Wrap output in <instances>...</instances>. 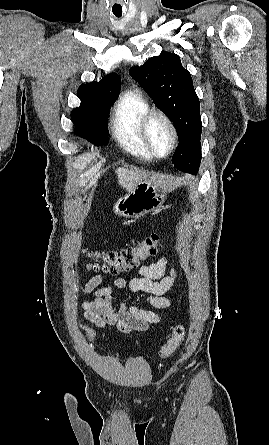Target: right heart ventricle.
<instances>
[{
    "mask_svg": "<svg viewBox=\"0 0 269 445\" xmlns=\"http://www.w3.org/2000/svg\"><path fill=\"white\" fill-rule=\"evenodd\" d=\"M150 110L149 103L141 94L127 91L115 105L111 121L112 133L118 144L143 160L154 158L140 134L141 121Z\"/></svg>",
    "mask_w": 269,
    "mask_h": 445,
    "instance_id": "obj_1",
    "label": "right heart ventricle"
}]
</instances>
